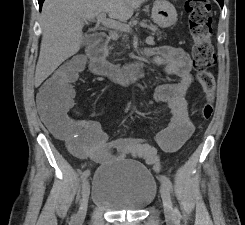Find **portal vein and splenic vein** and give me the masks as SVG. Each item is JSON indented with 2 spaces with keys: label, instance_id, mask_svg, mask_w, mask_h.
I'll list each match as a JSON object with an SVG mask.
<instances>
[{
  "label": "portal vein and splenic vein",
  "instance_id": "obj_1",
  "mask_svg": "<svg viewBox=\"0 0 245 225\" xmlns=\"http://www.w3.org/2000/svg\"><path fill=\"white\" fill-rule=\"evenodd\" d=\"M97 22L101 23L104 27L116 29L122 32L131 31V27L129 25L107 18L105 13H101L97 16ZM153 40L154 38L151 36L147 38V42H153Z\"/></svg>",
  "mask_w": 245,
  "mask_h": 225
}]
</instances>
